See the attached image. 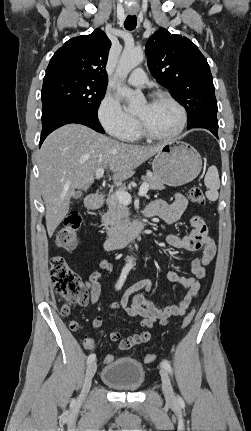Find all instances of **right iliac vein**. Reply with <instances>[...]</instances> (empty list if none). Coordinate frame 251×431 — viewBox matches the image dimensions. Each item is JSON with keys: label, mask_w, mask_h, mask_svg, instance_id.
Wrapping results in <instances>:
<instances>
[{"label": "right iliac vein", "mask_w": 251, "mask_h": 431, "mask_svg": "<svg viewBox=\"0 0 251 431\" xmlns=\"http://www.w3.org/2000/svg\"><path fill=\"white\" fill-rule=\"evenodd\" d=\"M96 369H97V365L95 362L90 363L89 366L87 367L84 383H83V389L81 393V400L85 399L91 387L92 379L95 375Z\"/></svg>", "instance_id": "63e3f726"}]
</instances>
